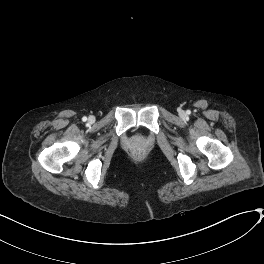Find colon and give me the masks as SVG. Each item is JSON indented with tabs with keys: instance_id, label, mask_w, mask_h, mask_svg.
Here are the masks:
<instances>
[{
	"instance_id": "obj_1",
	"label": "colon",
	"mask_w": 264,
	"mask_h": 264,
	"mask_svg": "<svg viewBox=\"0 0 264 264\" xmlns=\"http://www.w3.org/2000/svg\"><path fill=\"white\" fill-rule=\"evenodd\" d=\"M142 154H143V151L142 150H138L137 153H136L137 157H141Z\"/></svg>"
}]
</instances>
